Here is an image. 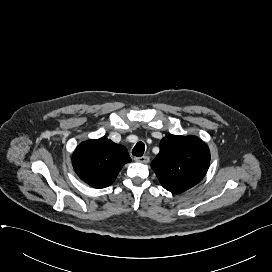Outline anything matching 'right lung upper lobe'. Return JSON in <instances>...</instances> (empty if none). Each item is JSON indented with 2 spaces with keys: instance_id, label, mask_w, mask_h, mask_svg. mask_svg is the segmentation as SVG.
Listing matches in <instances>:
<instances>
[{
  "instance_id": "1",
  "label": "right lung upper lobe",
  "mask_w": 272,
  "mask_h": 272,
  "mask_svg": "<svg viewBox=\"0 0 272 272\" xmlns=\"http://www.w3.org/2000/svg\"><path fill=\"white\" fill-rule=\"evenodd\" d=\"M131 162L127 149L106 137L81 143L73 153V168L94 188L110 186L124 164Z\"/></svg>"
}]
</instances>
